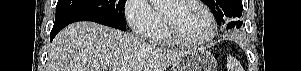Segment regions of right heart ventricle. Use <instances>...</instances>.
Listing matches in <instances>:
<instances>
[{
  "instance_id": "e07e8e85",
  "label": "right heart ventricle",
  "mask_w": 301,
  "mask_h": 71,
  "mask_svg": "<svg viewBox=\"0 0 301 71\" xmlns=\"http://www.w3.org/2000/svg\"><path fill=\"white\" fill-rule=\"evenodd\" d=\"M148 40L152 43L161 44V45L175 44V42L172 40V38L168 35L161 18H160L158 24L156 25V27L153 29L150 36L148 37Z\"/></svg>"
}]
</instances>
